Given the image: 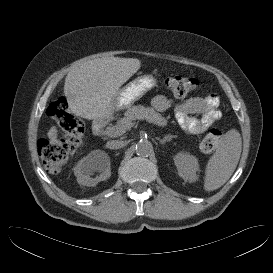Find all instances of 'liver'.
Here are the masks:
<instances>
[{"label":"liver","mask_w":273,"mask_h":273,"mask_svg":"<svg viewBox=\"0 0 273 273\" xmlns=\"http://www.w3.org/2000/svg\"><path fill=\"white\" fill-rule=\"evenodd\" d=\"M140 66L137 58L103 57L72 67L64 84L69 109L86 119H111L117 110L116 97L120 87ZM47 135L52 145L58 143L55 126Z\"/></svg>","instance_id":"1"}]
</instances>
